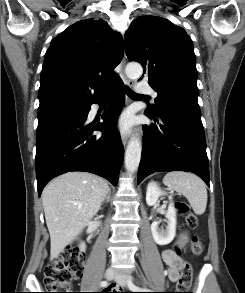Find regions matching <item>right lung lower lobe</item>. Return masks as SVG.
<instances>
[{
	"label": "right lung lower lobe",
	"instance_id": "1",
	"mask_svg": "<svg viewBox=\"0 0 245 293\" xmlns=\"http://www.w3.org/2000/svg\"><path fill=\"white\" fill-rule=\"evenodd\" d=\"M123 83L113 88V99L102 114L103 122L87 123L90 107L101 97L85 105L77 115L59 119L37 131L36 177L39 197L54 177L69 171L94 173L116 185L122 166L124 149L116 130L119 108L123 105ZM102 131L99 138L92 133Z\"/></svg>",
	"mask_w": 245,
	"mask_h": 293
}]
</instances>
